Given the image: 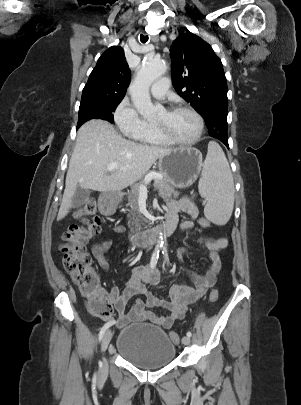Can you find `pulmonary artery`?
<instances>
[{
	"instance_id": "pulmonary-artery-1",
	"label": "pulmonary artery",
	"mask_w": 301,
	"mask_h": 405,
	"mask_svg": "<svg viewBox=\"0 0 301 405\" xmlns=\"http://www.w3.org/2000/svg\"><path fill=\"white\" fill-rule=\"evenodd\" d=\"M169 79L167 77H162L156 80L150 88L151 94L156 98H163L168 92Z\"/></svg>"
}]
</instances>
